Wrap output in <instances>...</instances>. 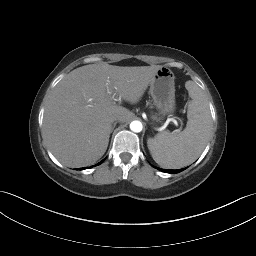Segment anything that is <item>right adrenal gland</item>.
Here are the masks:
<instances>
[{
	"mask_svg": "<svg viewBox=\"0 0 256 256\" xmlns=\"http://www.w3.org/2000/svg\"><path fill=\"white\" fill-rule=\"evenodd\" d=\"M116 124H117L116 122L113 124V126H112V131L114 130Z\"/></svg>",
	"mask_w": 256,
	"mask_h": 256,
	"instance_id": "right-adrenal-gland-1",
	"label": "right adrenal gland"
}]
</instances>
